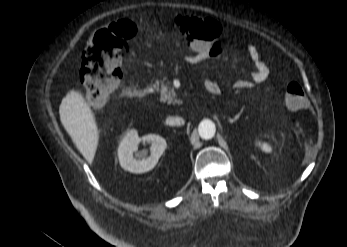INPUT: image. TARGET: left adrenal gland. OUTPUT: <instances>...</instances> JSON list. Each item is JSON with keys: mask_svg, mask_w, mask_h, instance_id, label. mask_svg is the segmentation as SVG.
I'll return each instance as SVG.
<instances>
[{"mask_svg": "<svg viewBox=\"0 0 347 247\" xmlns=\"http://www.w3.org/2000/svg\"><path fill=\"white\" fill-rule=\"evenodd\" d=\"M240 117V114H238V115H236L234 118H228V121L230 122V123H234V122H236L237 121V119Z\"/></svg>", "mask_w": 347, "mask_h": 247, "instance_id": "obj_1", "label": "left adrenal gland"}]
</instances>
